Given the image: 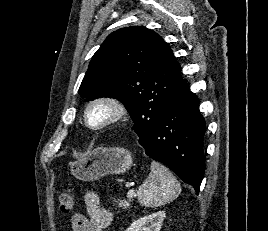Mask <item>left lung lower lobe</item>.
Listing matches in <instances>:
<instances>
[{
    "instance_id": "0a47b994",
    "label": "left lung lower lobe",
    "mask_w": 268,
    "mask_h": 231,
    "mask_svg": "<svg viewBox=\"0 0 268 231\" xmlns=\"http://www.w3.org/2000/svg\"><path fill=\"white\" fill-rule=\"evenodd\" d=\"M206 124L198 97L185 83L169 100L156 124L139 136L145 153L167 165L198 194L203 179Z\"/></svg>"
}]
</instances>
